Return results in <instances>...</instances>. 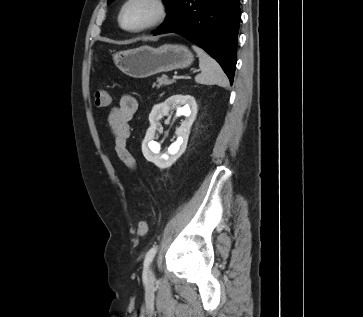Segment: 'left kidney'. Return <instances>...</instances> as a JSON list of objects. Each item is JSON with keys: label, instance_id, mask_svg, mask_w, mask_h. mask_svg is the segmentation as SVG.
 Returning <instances> with one entry per match:
<instances>
[{"label": "left kidney", "instance_id": "5707ae66", "mask_svg": "<svg viewBox=\"0 0 363 317\" xmlns=\"http://www.w3.org/2000/svg\"><path fill=\"white\" fill-rule=\"evenodd\" d=\"M177 104L184 105L177 107V113L186 118L176 130L177 141L168 148L166 154H160V145L153 140L156 127L159 120L168 115L170 109ZM196 115L197 103L191 95H173L165 102L155 105L149 115L150 127L142 144V152L146 160L153 162L159 168L170 167L186 150L190 129Z\"/></svg>", "mask_w": 363, "mask_h": 317}]
</instances>
